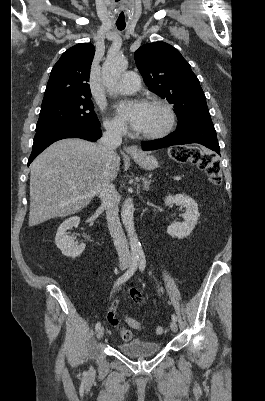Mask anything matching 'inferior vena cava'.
Listing matches in <instances>:
<instances>
[{
  "label": "inferior vena cava",
  "instance_id": "1",
  "mask_svg": "<svg viewBox=\"0 0 265 401\" xmlns=\"http://www.w3.org/2000/svg\"><path fill=\"white\" fill-rule=\"evenodd\" d=\"M105 128L106 130L103 132L102 138L98 140V144L102 146L105 152L107 164H111L115 156V148L122 142L123 126H120V124H105ZM94 194H99L102 205L106 207L108 229L119 259L130 261L131 253L118 217L119 194L113 182H111L110 176L105 174L104 178L100 180V184H97Z\"/></svg>",
  "mask_w": 265,
  "mask_h": 401
}]
</instances>
